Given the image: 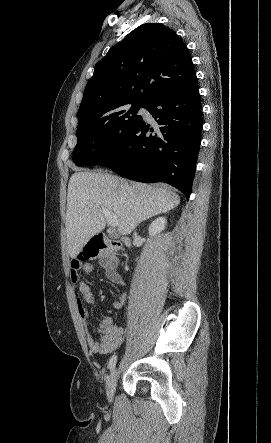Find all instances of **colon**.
Here are the masks:
<instances>
[{
	"mask_svg": "<svg viewBox=\"0 0 271 443\" xmlns=\"http://www.w3.org/2000/svg\"><path fill=\"white\" fill-rule=\"evenodd\" d=\"M121 250L122 246L120 243L94 237L84 246L77 260L83 262L99 258L104 263H113Z\"/></svg>",
	"mask_w": 271,
	"mask_h": 443,
	"instance_id": "5ec220e1",
	"label": "colon"
}]
</instances>
